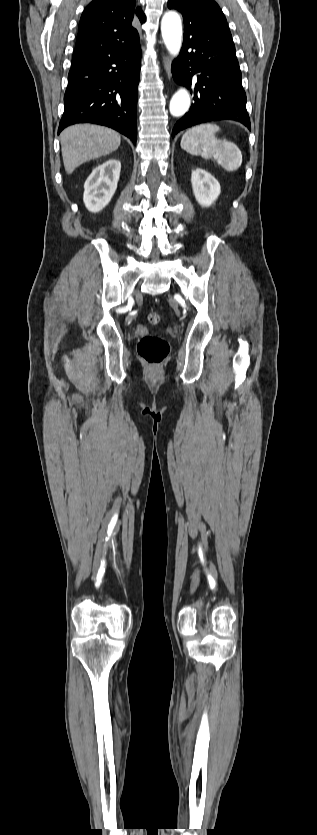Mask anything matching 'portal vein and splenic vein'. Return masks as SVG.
<instances>
[{
	"label": "portal vein and splenic vein",
	"instance_id": "18ae733b",
	"mask_svg": "<svg viewBox=\"0 0 317 835\" xmlns=\"http://www.w3.org/2000/svg\"><path fill=\"white\" fill-rule=\"evenodd\" d=\"M217 158H218V156L216 155V156H215V159H217Z\"/></svg>",
	"mask_w": 317,
	"mask_h": 835
}]
</instances>
